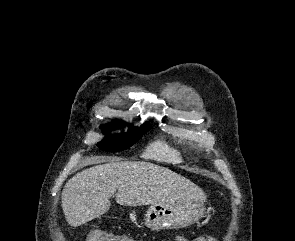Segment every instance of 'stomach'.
Returning <instances> with one entry per match:
<instances>
[{
	"label": "stomach",
	"instance_id": "stomach-1",
	"mask_svg": "<svg viewBox=\"0 0 295 241\" xmlns=\"http://www.w3.org/2000/svg\"><path fill=\"white\" fill-rule=\"evenodd\" d=\"M203 202L152 204L144 214V224L152 230L184 228L205 216Z\"/></svg>",
	"mask_w": 295,
	"mask_h": 241
}]
</instances>
